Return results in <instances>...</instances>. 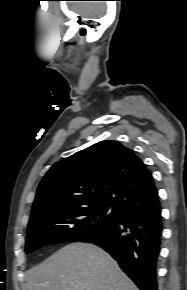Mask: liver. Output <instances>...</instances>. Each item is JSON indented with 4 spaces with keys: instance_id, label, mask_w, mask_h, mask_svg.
<instances>
[{
    "instance_id": "1",
    "label": "liver",
    "mask_w": 187,
    "mask_h": 290,
    "mask_svg": "<svg viewBox=\"0 0 187 290\" xmlns=\"http://www.w3.org/2000/svg\"><path fill=\"white\" fill-rule=\"evenodd\" d=\"M27 290H139L118 263L93 244H68L27 272Z\"/></svg>"
}]
</instances>
